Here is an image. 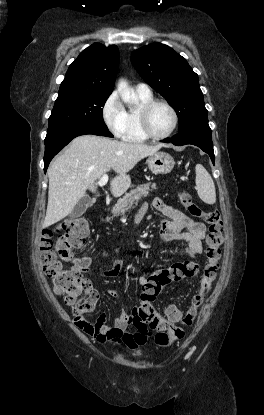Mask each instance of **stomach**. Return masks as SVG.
<instances>
[{
    "mask_svg": "<svg viewBox=\"0 0 264 415\" xmlns=\"http://www.w3.org/2000/svg\"><path fill=\"white\" fill-rule=\"evenodd\" d=\"M147 164L154 174H168L172 171L175 161L166 152H156L148 157Z\"/></svg>",
    "mask_w": 264,
    "mask_h": 415,
    "instance_id": "1",
    "label": "stomach"
}]
</instances>
